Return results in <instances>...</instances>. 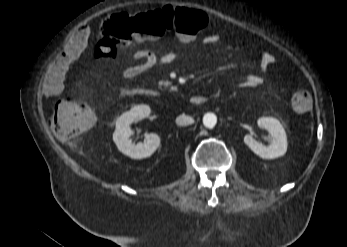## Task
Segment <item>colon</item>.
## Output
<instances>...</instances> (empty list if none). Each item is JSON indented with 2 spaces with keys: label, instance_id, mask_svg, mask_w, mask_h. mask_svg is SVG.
<instances>
[{
  "label": "colon",
  "instance_id": "obj_1",
  "mask_svg": "<svg viewBox=\"0 0 347 247\" xmlns=\"http://www.w3.org/2000/svg\"><path fill=\"white\" fill-rule=\"evenodd\" d=\"M207 23L204 12L180 7H165L139 14L115 13L102 24L96 56L112 58L120 47L128 45L134 38H159L167 31H174L190 41ZM291 103L296 111L307 112L312 106L310 92L304 87L297 88L292 94ZM93 125L92 109L74 99L59 100L50 118L52 131L63 140L77 137Z\"/></svg>",
  "mask_w": 347,
  "mask_h": 247
}]
</instances>
